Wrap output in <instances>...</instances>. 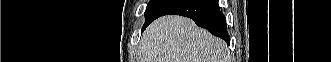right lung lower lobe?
Wrapping results in <instances>:
<instances>
[{"instance_id": "98d812e1", "label": "right lung lower lobe", "mask_w": 331, "mask_h": 62, "mask_svg": "<svg viewBox=\"0 0 331 62\" xmlns=\"http://www.w3.org/2000/svg\"><path fill=\"white\" fill-rule=\"evenodd\" d=\"M168 14L189 17L198 26L207 29L211 34L224 39L227 43L230 41L225 16L220 12L217 0H176L156 18ZM151 22L144 25L143 30Z\"/></svg>"}]
</instances>
